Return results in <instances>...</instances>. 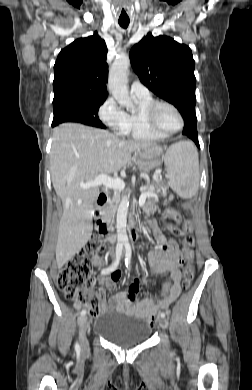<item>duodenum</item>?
<instances>
[{"label": "duodenum", "mask_w": 252, "mask_h": 390, "mask_svg": "<svg viewBox=\"0 0 252 390\" xmlns=\"http://www.w3.org/2000/svg\"><path fill=\"white\" fill-rule=\"evenodd\" d=\"M109 202V197L107 193L101 192L96 199V205L98 207H105L107 203ZM134 220H135V215H132L131 218V225L128 230V236L130 241H136L138 239L139 233L136 231L134 227ZM110 221L109 220H99L97 222V229L101 234L106 235L109 239H111V233H110Z\"/></svg>", "instance_id": "obj_1"}]
</instances>
